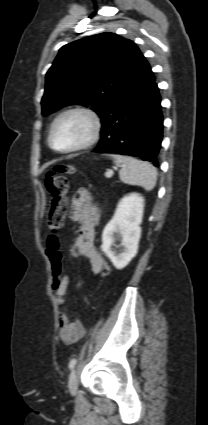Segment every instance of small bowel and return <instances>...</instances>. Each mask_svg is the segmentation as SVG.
Wrapping results in <instances>:
<instances>
[{
	"mask_svg": "<svg viewBox=\"0 0 208 425\" xmlns=\"http://www.w3.org/2000/svg\"><path fill=\"white\" fill-rule=\"evenodd\" d=\"M70 218L78 222L77 236L73 243L76 254L90 262L93 273L100 274L102 267L107 265L94 244L95 227L97 224V212L93 193L88 188H80L73 196ZM69 275L62 273L55 297L59 305L64 303L69 284ZM60 337L66 344L77 342L85 333L81 321L70 320L65 311H61L58 317Z\"/></svg>",
	"mask_w": 208,
	"mask_h": 425,
	"instance_id": "c3829d8e",
	"label": "small bowel"
}]
</instances>
